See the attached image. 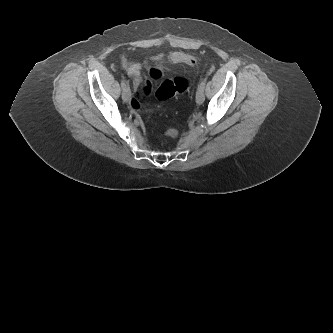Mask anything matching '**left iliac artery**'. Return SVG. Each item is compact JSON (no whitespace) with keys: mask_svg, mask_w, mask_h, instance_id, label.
I'll return each mask as SVG.
<instances>
[{"mask_svg":"<svg viewBox=\"0 0 333 333\" xmlns=\"http://www.w3.org/2000/svg\"><path fill=\"white\" fill-rule=\"evenodd\" d=\"M205 83H206V80L204 79V80L200 83L199 88L204 89V88H205Z\"/></svg>","mask_w":333,"mask_h":333,"instance_id":"44dca946","label":"left iliac artery"}]
</instances>
